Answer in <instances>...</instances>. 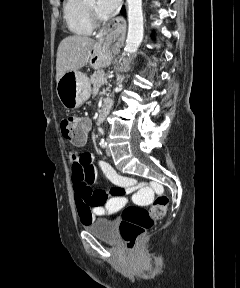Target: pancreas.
<instances>
[{"label": "pancreas", "instance_id": "pancreas-1", "mask_svg": "<svg viewBox=\"0 0 240 288\" xmlns=\"http://www.w3.org/2000/svg\"><path fill=\"white\" fill-rule=\"evenodd\" d=\"M91 83L95 90L99 89L102 85L107 84V75L102 70L95 71L91 75Z\"/></svg>", "mask_w": 240, "mask_h": 288}]
</instances>
